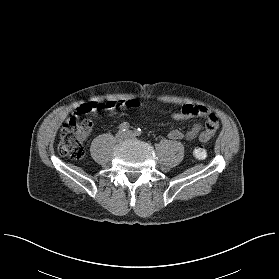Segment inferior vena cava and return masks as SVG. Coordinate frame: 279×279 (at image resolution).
<instances>
[{
  "label": "inferior vena cava",
  "mask_w": 279,
  "mask_h": 279,
  "mask_svg": "<svg viewBox=\"0 0 279 279\" xmlns=\"http://www.w3.org/2000/svg\"><path fill=\"white\" fill-rule=\"evenodd\" d=\"M132 137H133V135L131 132H128L125 136V138H127V139H131Z\"/></svg>",
  "instance_id": "obj_1"
}]
</instances>
